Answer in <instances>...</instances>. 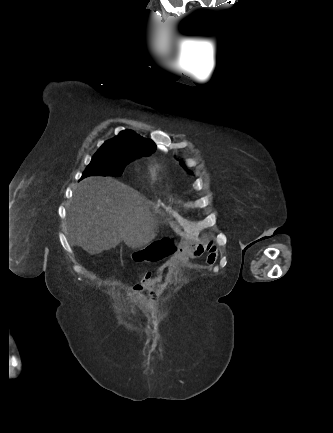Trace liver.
Segmentation results:
<instances>
[{"mask_svg":"<svg viewBox=\"0 0 333 433\" xmlns=\"http://www.w3.org/2000/svg\"><path fill=\"white\" fill-rule=\"evenodd\" d=\"M150 205L145 196L111 177H88L76 186L68 210L72 244L90 255L115 248L122 241L129 248H141L157 234Z\"/></svg>","mask_w":333,"mask_h":433,"instance_id":"1","label":"liver"}]
</instances>
